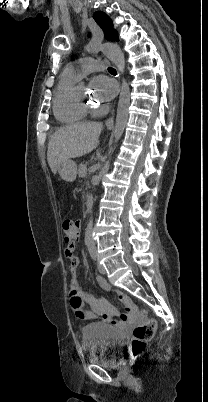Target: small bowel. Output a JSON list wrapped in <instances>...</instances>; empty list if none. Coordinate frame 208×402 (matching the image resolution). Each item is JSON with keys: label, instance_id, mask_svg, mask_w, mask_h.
<instances>
[{"label": "small bowel", "instance_id": "c3829d8e", "mask_svg": "<svg viewBox=\"0 0 208 402\" xmlns=\"http://www.w3.org/2000/svg\"><path fill=\"white\" fill-rule=\"evenodd\" d=\"M73 230L76 232L75 236L72 237V242L65 249L66 256L70 259V284L68 288V296L71 299L73 296H78L81 298L82 302L87 305L89 310H84V315L82 318H86V321H89V318L98 316L104 320L110 321L112 324H116V328L118 330H129L131 324L140 323L142 318L140 317L141 312L138 309H133V304L128 298V294L126 292H121L119 294V299L124 304L126 310L123 314H120L118 310L111 305V303L105 298H97L95 296L84 294L80 291L78 286V260L74 255L75 244L80 241V237L82 233L79 231L82 227L81 221H76ZM96 282L99 287L106 291H111V286L109 283L102 277H97ZM129 300L128 304L123 301Z\"/></svg>", "mask_w": 208, "mask_h": 402}]
</instances>
